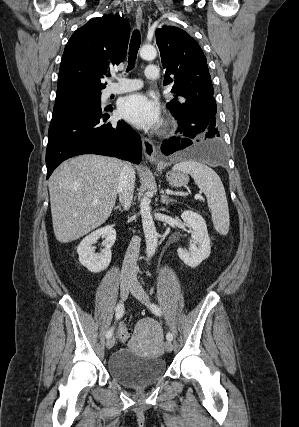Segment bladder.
Instances as JSON below:
<instances>
[{
	"label": "bladder",
	"mask_w": 299,
	"mask_h": 427,
	"mask_svg": "<svg viewBox=\"0 0 299 427\" xmlns=\"http://www.w3.org/2000/svg\"><path fill=\"white\" fill-rule=\"evenodd\" d=\"M107 370L109 376L121 385L144 387L161 380L167 366L160 356H140L128 348H120L111 355Z\"/></svg>",
	"instance_id": "1"
}]
</instances>
